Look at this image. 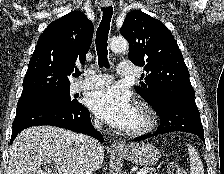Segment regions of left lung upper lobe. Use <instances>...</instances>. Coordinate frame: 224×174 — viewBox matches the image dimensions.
Listing matches in <instances>:
<instances>
[{
    "mask_svg": "<svg viewBox=\"0 0 224 174\" xmlns=\"http://www.w3.org/2000/svg\"><path fill=\"white\" fill-rule=\"evenodd\" d=\"M120 31L129 42L130 60L144 66L145 83L135 87L142 98L153 104L163 92H194L177 42L161 21L131 11Z\"/></svg>",
    "mask_w": 224,
    "mask_h": 174,
    "instance_id": "left-lung-upper-lobe-1",
    "label": "left lung upper lobe"
}]
</instances>
